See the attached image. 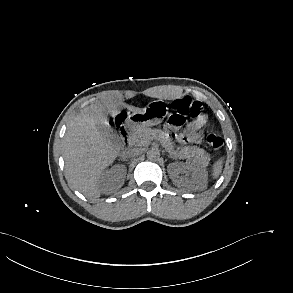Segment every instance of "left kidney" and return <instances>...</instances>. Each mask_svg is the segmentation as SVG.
Here are the masks:
<instances>
[{"label":"left kidney","mask_w":293,"mask_h":293,"mask_svg":"<svg viewBox=\"0 0 293 293\" xmlns=\"http://www.w3.org/2000/svg\"><path fill=\"white\" fill-rule=\"evenodd\" d=\"M171 178L177 187H190L194 190H204L208 183V174L205 166L194 162H175L170 164ZM191 174V179L181 177L180 174Z\"/></svg>","instance_id":"left-kidney-1"}]
</instances>
